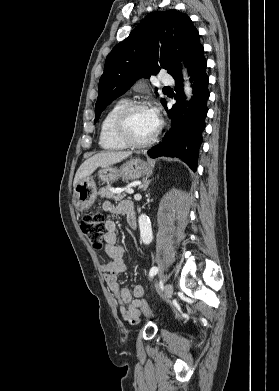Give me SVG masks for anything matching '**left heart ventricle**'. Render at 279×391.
I'll return each mask as SVG.
<instances>
[{"label": "left heart ventricle", "mask_w": 279, "mask_h": 391, "mask_svg": "<svg viewBox=\"0 0 279 391\" xmlns=\"http://www.w3.org/2000/svg\"><path fill=\"white\" fill-rule=\"evenodd\" d=\"M157 124L158 121L149 108H138L132 111L127 121L129 135L137 141L149 138Z\"/></svg>", "instance_id": "left-heart-ventricle-1"}]
</instances>
